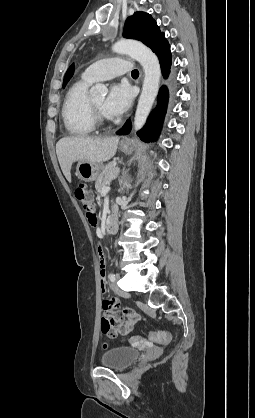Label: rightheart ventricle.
I'll return each mask as SVG.
<instances>
[{"label": "right heart ventricle", "mask_w": 255, "mask_h": 418, "mask_svg": "<svg viewBox=\"0 0 255 418\" xmlns=\"http://www.w3.org/2000/svg\"><path fill=\"white\" fill-rule=\"evenodd\" d=\"M92 82L82 77L68 89L62 106L63 123L69 134L87 136L95 130L88 88Z\"/></svg>", "instance_id": "1"}]
</instances>
